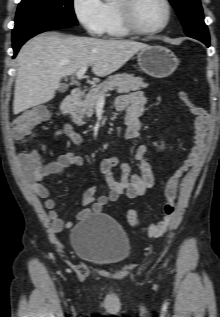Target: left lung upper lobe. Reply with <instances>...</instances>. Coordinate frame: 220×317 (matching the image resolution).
<instances>
[{"label":"left lung upper lobe","instance_id":"1","mask_svg":"<svg viewBox=\"0 0 220 317\" xmlns=\"http://www.w3.org/2000/svg\"><path fill=\"white\" fill-rule=\"evenodd\" d=\"M175 8L187 35L209 36L200 0H169Z\"/></svg>","mask_w":220,"mask_h":317}]
</instances>
